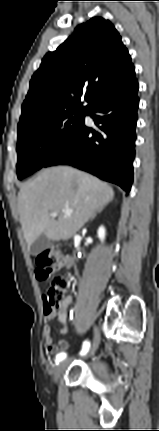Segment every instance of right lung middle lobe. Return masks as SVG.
Returning a JSON list of instances; mask_svg holds the SVG:
<instances>
[{"label": "right lung middle lobe", "instance_id": "right-lung-middle-lobe-1", "mask_svg": "<svg viewBox=\"0 0 159 431\" xmlns=\"http://www.w3.org/2000/svg\"><path fill=\"white\" fill-rule=\"evenodd\" d=\"M86 114L66 111L18 130V178L23 179L44 167L57 148L81 126Z\"/></svg>", "mask_w": 159, "mask_h": 431}]
</instances>
